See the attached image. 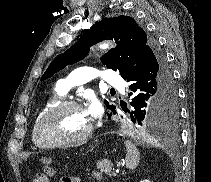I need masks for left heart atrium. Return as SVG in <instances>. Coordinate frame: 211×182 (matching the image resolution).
<instances>
[{
    "label": "left heart atrium",
    "instance_id": "39dd6f15",
    "mask_svg": "<svg viewBox=\"0 0 211 182\" xmlns=\"http://www.w3.org/2000/svg\"><path fill=\"white\" fill-rule=\"evenodd\" d=\"M84 111H85L87 117L90 119V121H93L100 115L101 106L97 100L92 99L90 101V104L88 105L87 109Z\"/></svg>",
    "mask_w": 211,
    "mask_h": 182
}]
</instances>
